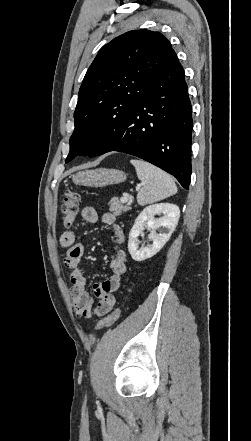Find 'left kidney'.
<instances>
[{
	"mask_svg": "<svg viewBox=\"0 0 251 441\" xmlns=\"http://www.w3.org/2000/svg\"><path fill=\"white\" fill-rule=\"evenodd\" d=\"M163 214L162 217L155 219L154 215ZM180 217L179 207L170 203H159L147 206L136 218L134 225L129 233L128 251L135 261H144L157 254L170 239L178 224ZM147 225L150 234L148 238L152 241L151 245L139 248L138 236ZM159 234L156 230L161 228Z\"/></svg>",
	"mask_w": 251,
	"mask_h": 441,
	"instance_id": "5707ae66",
	"label": "left kidney"
}]
</instances>
